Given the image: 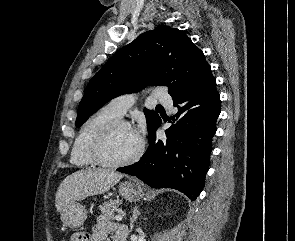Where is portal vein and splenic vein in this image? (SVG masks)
<instances>
[{
	"label": "portal vein and splenic vein",
	"mask_w": 295,
	"mask_h": 241,
	"mask_svg": "<svg viewBox=\"0 0 295 241\" xmlns=\"http://www.w3.org/2000/svg\"><path fill=\"white\" fill-rule=\"evenodd\" d=\"M115 218L117 221H122V219H123V217L120 214L116 215Z\"/></svg>",
	"instance_id": "1"
}]
</instances>
